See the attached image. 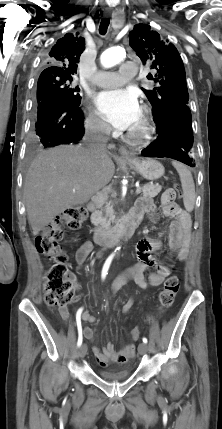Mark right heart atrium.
Listing matches in <instances>:
<instances>
[{
  "instance_id": "obj_1",
  "label": "right heart atrium",
  "mask_w": 222,
  "mask_h": 429,
  "mask_svg": "<svg viewBox=\"0 0 222 429\" xmlns=\"http://www.w3.org/2000/svg\"><path fill=\"white\" fill-rule=\"evenodd\" d=\"M85 125L91 133L103 134L108 131L105 122L94 111H90L87 114Z\"/></svg>"
}]
</instances>
